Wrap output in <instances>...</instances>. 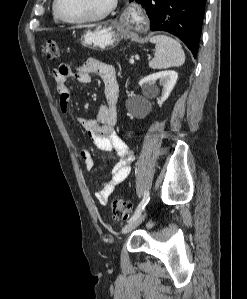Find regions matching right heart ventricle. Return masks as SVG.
I'll return each mask as SVG.
<instances>
[{
    "instance_id": "right-heart-ventricle-1",
    "label": "right heart ventricle",
    "mask_w": 247,
    "mask_h": 299,
    "mask_svg": "<svg viewBox=\"0 0 247 299\" xmlns=\"http://www.w3.org/2000/svg\"><path fill=\"white\" fill-rule=\"evenodd\" d=\"M53 18H54V21H58L57 17L55 16V14H53Z\"/></svg>"
}]
</instances>
